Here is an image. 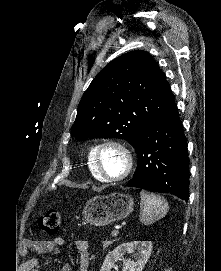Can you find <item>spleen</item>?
<instances>
[{
    "label": "spleen",
    "mask_w": 221,
    "mask_h": 271,
    "mask_svg": "<svg viewBox=\"0 0 221 271\" xmlns=\"http://www.w3.org/2000/svg\"><path fill=\"white\" fill-rule=\"evenodd\" d=\"M140 195L141 203L139 219L144 225H150V223H154V221H158V219L165 217L169 205L164 197L157 195V193L145 191V189L140 191Z\"/></svg>",
    "instance_id": "3e777b00"
}]
</instances>
